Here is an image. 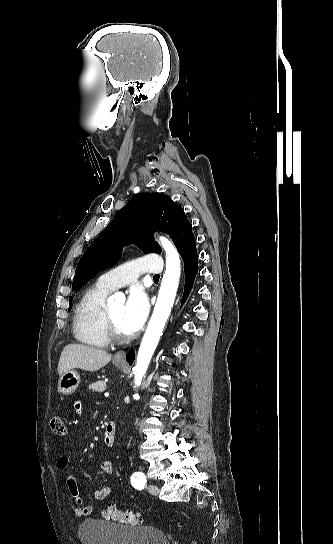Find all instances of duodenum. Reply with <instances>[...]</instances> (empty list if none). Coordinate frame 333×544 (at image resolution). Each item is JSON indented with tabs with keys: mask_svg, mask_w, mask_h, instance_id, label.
Listing matches in <instances>:
<instances>
[{
	"mask_svg": "<svg viewBox=\"0 0 333 544\" xmlns=\"http://www.w3.org/2000/svg\"><path fill=\"white\" fill-rule=\"evenodd\" d=\"M116 437V427L113 422H108L105 427V433L103 441L107 446H112L114 444Z\"/></svg>",
	"mask_w": 333,
	"mask_h": 544,
	"instance_id": "410a0bca",
	"label": "duodenum"
}]
</instances>
